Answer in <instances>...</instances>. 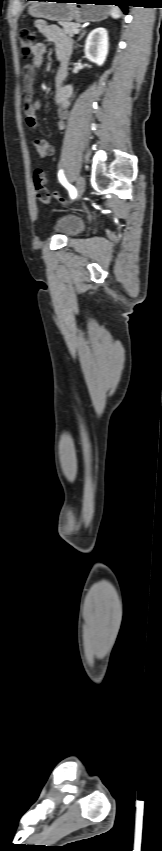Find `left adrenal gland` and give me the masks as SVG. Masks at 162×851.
Returning a JSON list of instances; mask_svg holds the SVG:
<instances>
[{"label": "left adrenal gland", "mask_w": 162, "mask_h": 851, "mask_svg": "<svg viewBox=\"0 0 162 851\" xmlns=\"http://www.w3.org/2000/svg\"><path fill=\"white\" fill-rule=\"evenodd\" d=\"M84 35H85V32H83V33L80 35L79 40H80V39H81Z\"/></svg>", "instance_id": "obj_1"}]
</instances>
